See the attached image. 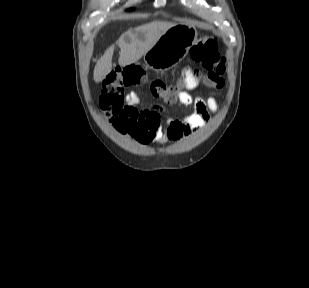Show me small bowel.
<instances>
[{"mask_svg": "<svg viewBox=\"0 0 309 288\" xmlns=\"http://www.w3.org/2000/svg\"><path fill=\"white\" fill-rule=\"evenodd\" d=\"M183 72L188 81V89H194L189 70L185 68ZM179 102L186 109L184 118L168 119L163 123V106L156 104L151 108H144V101L140 95L130 92L126 97V105L131 111L128 117L115 120L114 128L118 133L132 138L141 145L177 141L200 131L208 124L210 112L218 109L213 97L206 100L201 97L193 98L187 92L179 95Z\"/></svg>", "mask_w": 309, "mask_h": 288, "instance_id": "small-bowel-1", "label": "small bowel"}]
</instances>
